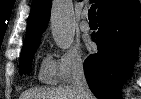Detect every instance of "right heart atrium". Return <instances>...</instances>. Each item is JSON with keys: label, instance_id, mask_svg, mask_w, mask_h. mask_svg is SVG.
Wrapping results in <instances>:
<instances>
[{"label": "right heart atrium", "instance_id": "obj_1", "mask_svg": "<svg viewBox=\"0 0 141 99\" xmlns=\"http://www.w3.org/2000/svg\"><path fill=\"white\" fill-rule=\"evenodd\" d=\"M55 65L58 79L67 83L83 72L84 57L77 47H70L58 55Z\"/></svg>", "mask_w": 141, "mask_h": 99}]
</instances>
